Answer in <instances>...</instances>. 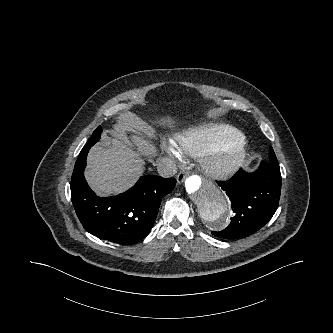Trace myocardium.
<instances>
[{
    "label": "myocardium",
    "mask_w": 333,
    "mask_h": 333,
    "mask_svg": "<svg viewBox=\"0 0 333 333\" xmlns=\"http://www.w3.org/2000/svg\"><path fill=\"white\" fill-rule=\"evenodd\" d=\"M248 148L245 140L221 141L208 149L201 157L206 172L217 179L233 175L245 162Z\"/></svg>",
    "instance_id": "obj_1"
}]
</instances>
